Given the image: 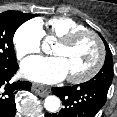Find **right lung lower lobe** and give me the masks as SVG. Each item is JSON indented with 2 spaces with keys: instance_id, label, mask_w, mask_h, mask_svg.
<instances>
[{
  "instance_id": "right-lung-lower-lobe-1",
  "label": "right lung lower lobe",
  "mask_w": 117,
  "mask_h": 117,
  "mask_svg": "<svg viewBox=\"0 0 117 117\" xmlns=\"http://www.w3.org/2000/svg\"><path fill=\"white\" fill-rule=\"evenodd\" d=\"M18 70V64L0 66V117H14L16 113L15 94L19 90H31L28 81H11Z\"/></svg>"
}]
</instances>
